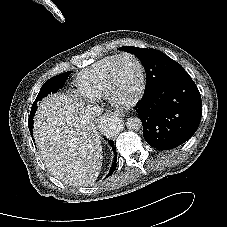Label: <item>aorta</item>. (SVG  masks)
<instances>
[{
	"mask_svg": "<svg viewBox=\"0 0 227 227\" xmlns=\"http://www.w3.org/2000/svg\"><path fill=\"white\" fill-rule=\"evenodd\" d=\"M120 120L116 116L107 117L104 120V129L105 132L109 135L115 134L118 132V126ZM127 129L130 131H138L142 128V122L139 117H130L126 122Z\"/></svg>",
	"mask_w": 227,
	"mask_h": 227,
	"instance_id": "1",
	"label": "aorta"
}]
</instances>
